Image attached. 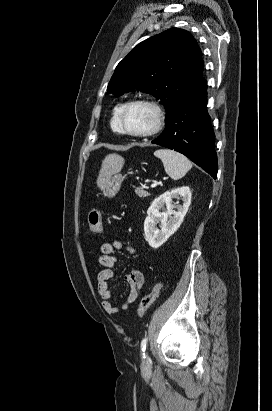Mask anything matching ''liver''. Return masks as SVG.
Here are the masks:
<instances>
[{
  "label": "liver",
  "mask_w": 272,
  "mask_h": 411,
  "mask_svg": "<svg viewBox=\"0 0 272 411\" xmlns=\"http://www.w3.org/2000/svg\"><path fill=\"white\" fill-rule=\"evenodd\" d=\"M124 165V159L118 154H109L102 161L101 170L97 179V185L103 189L109 178L119 172Z\"/></svg>",
  "instance_id": "liver-1"
}]
</instances>
